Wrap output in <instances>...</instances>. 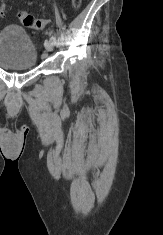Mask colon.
I'll return each instance as SVG.
<instances>
[{"label":"colon","instance_id":"5ec220e1","mask_svg":"<svg viewBox=\"0 0 163 235\" xmlns=\"http://www.w3.org/2000/svg\"><path fill=\"white\" fill-rule=\"evenodd\" d=\"M82 0H71V5L73 9H78L81 6ZM6 13V8L0 6V17H4ZM18 19L20 22L28 28L33 29H44L48 25V20L40 19L34 15L27 13L25 11H20L18 13Z\"/></svg>","mask_w":163,"mask_h":235}]
</instances>
